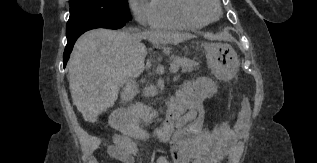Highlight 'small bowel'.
I'll return each mask as SVG.
<instances>
[{"label":"small bowel","instance_id":"1","mask_svg":"<svg viewBox=\"0 0 317 163\" xmlns=\"http://www.w3.org/2000/svg\"><path fill=\"white\" fill-rule=\"evenodd\" d=\"M217 85L208 78L187 82L170 103L169 112L177 115V131L170 141L172 163H216L224 153H233L237 147V132L223 124L212 131L203 129V102L214 96ZM250 107L242 102L237 128L243 130L249 120ZM138 146L127 141L119 150L110 148V155L122 163H134ZM156 163H170L159 157Z\"/></svg>","mask_w":317,"mask_h":163}]
</instances>
